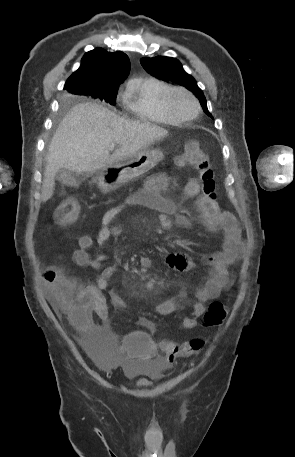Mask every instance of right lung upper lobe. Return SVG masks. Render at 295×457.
Here are the masks:
<instances>
[{"mask_svg":"<svg viewBox=\"0 0 295 457\" xmlns=\"http://www.w3.org/2000/svg\"><path fill=\"white\" fill-rule=\"evenodd\" d=\"M130 62L123 52H107L96 48L85 53L81 66L67 80L64 88L71 93L73 85L92 89L118 87L128 75Z\"/></svg>","mask_w":295,"mask_h":457,"instance_id":"cb5924a9","label":"right lung upper lobe"}]
</instances>
